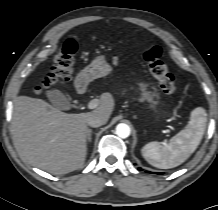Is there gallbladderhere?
Here are the masks:
<instances>
[{
  "label": "gallbladder",
  "mask_w": 218,
  "mask_h": 210,
  "mask_svg": "<svg viewBox=\"0 0 218 210\" xmlns=\"http://www.w3.org/2000/svg\"><path fill=\"white\" fill-rule=\"evenodd\" d=\"M46 97L48 100L55 106L56 108H63L64 106H68V102L66 97L58 90L52 89V90H47L45 92Z\"/></svg>",
  "instance_id": "gallbladder-1"
}]
</instances>
